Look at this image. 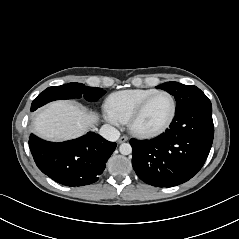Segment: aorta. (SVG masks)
<instances>
[{"label": "aorta", "mask_w": 239, "mask_h": 239, "mask_svg": "<svg viewBox=\"0 0 239 239\" xmlns=\"http://www.w3.org/2000/svg\"><path fill=\"white\" fill-rule=\"evenodd\" d=\"M119 151L122 155H129L132 153V147L129 143H122L119 147Z\"/></svg>", "instance_id": "aorta-1"}]
</instances>
